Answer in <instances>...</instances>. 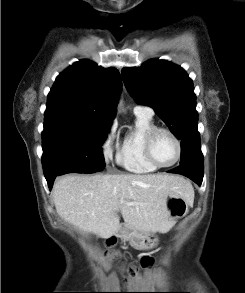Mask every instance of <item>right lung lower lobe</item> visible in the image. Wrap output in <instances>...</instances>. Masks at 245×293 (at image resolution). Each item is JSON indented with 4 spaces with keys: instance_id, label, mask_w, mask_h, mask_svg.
<instances>
[{
    "instance_id": "obj_1",
    "label": "right lung lower lobe",
    "mask_w": 245,
    "mask_h": 293,
    "mask_svg": "<svg viewBox=\"0 0 245 293\" xmlns=\"http://www.w3.org/2000/svg\"><path fill=\"white\" fill-rule=\"evenodd\" d=\"M71 172H77V173H94L96 171L95 170H70V171H64L63 174H65V173H71ZM60 175H62V174H60ZM57 176H59V175H57ZM57 176L51 177L49 179H46L47 180V183H48V186H49L50 189H52L54 180H55V178Z\"/></svg>"
}]
</instances>
